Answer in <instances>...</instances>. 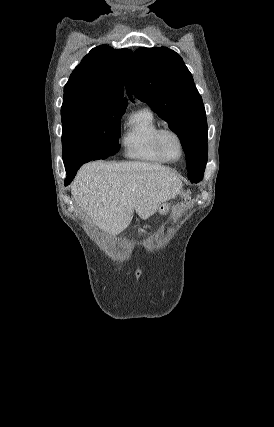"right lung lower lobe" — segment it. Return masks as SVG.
<instances>
[{
	"instance_id": "1",
	"label": "right lung lower lobe",
	"mask_w": 274,
	"mask_h": 427,
	"mask_svg": "<svg viewBox=\"0 0 274 427\" xmlns=\"http://www.w3.org/2000/svg\"><path fill=\"white\" fill-rule=\"evenodd\" d=\"M83 165L82 163L73 164L69 166H65L67 172V178L65 180V185H68L76 175L77 170Z\"/></svg>"
}]
</instances>
